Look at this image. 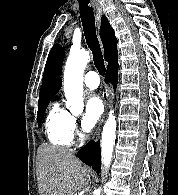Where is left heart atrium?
<instances>
[{"instance_id": "obj_1", "label": "left heart atrium", "mask_w": 178, "mask_h": 195, "mask_svg": "<svg viewBox=\"0 0 178 195\" xmlns=\"http://www.w3.org/2000/svg\"><path fill=\"white\" fill-rule=\"evenodd\" d=\"M103 112V104L97 95H92L86 101L85 112L82 118V128L91 131L99 121Z\"/></svg>"}]
</instances>
